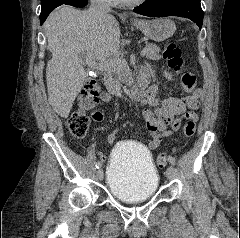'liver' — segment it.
I'll use <instances>...</instances> for the list:
<instances>
[{
  "mask_svg": "<svg viewBox=\"0 0 240 238\" xmlns=\"http://www.w3.org/2000/svg\"><path fill=\"white\" fill-rule=\"evenodd\" d=\"M44 29L52 53L46 69L48 101L67 118L86 78L80 55L98 60L114 55L120 44L119 24L112 15L96 16L64 5L51 12Z\"/></svg>",
  "mask_w": 240,
  "mask_h": 238,
  "instance_id": "6515ba94",
  "label": "liver"
}]
</instances>
